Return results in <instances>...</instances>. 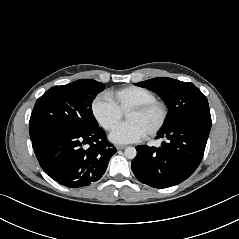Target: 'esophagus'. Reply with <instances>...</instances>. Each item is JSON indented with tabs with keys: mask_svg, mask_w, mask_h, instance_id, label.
Here are the masks:
<instances>
[{
	"mask_svg": "<svg viewBox=\"0 0 239 239\" xmlns=\"http://www.w3.org/2000/svg\"><path fill=\"white\" fill-rule=\"evenodd\" d=\"M124 148H125L124 145H116V149H117V150H122V149H124Z\"/></svg>",
	"mask_w": 239,
	"mask_h": 239,
	"instance_id": "esophagus-1",
	"label": "esophagus"
}]
</instances>
